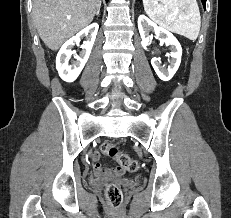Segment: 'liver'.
<instances>
[{
  "instance_id": "6515ba94",
  "label": "liver",
  "mask_w": 231,
  "mask_h": 218,
  "mask_svg": "<svg viewBox=\"0 0 231 218\" xmlns=\"http://www.w3.org/2000/svg\"><path fill=\"white\" fill-rule=\"evenodd\" d=\"M101 0H33V20L38 34L51 50L89 25Z\"/></svg>"
}]
</instances>
